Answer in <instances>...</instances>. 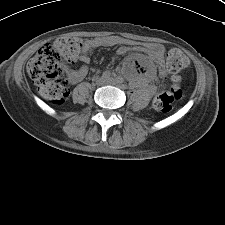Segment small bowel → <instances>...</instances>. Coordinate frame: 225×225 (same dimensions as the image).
<instances>
[{
  "mask_svg": "<svg viewBox=\"0 0 225 225\" xmlns=\"http://www.w3.org/2000/svg\"><path fill=\"white\" fill-rule=\"evenodd\" d=\"M121 44L122 41L114 36L86 39L82 44V51L80 55V61L83 65L77 70L64 69L69 81L71 83H77L87 75V64L90 62V54L93 50L101 47L106 48L120 45L116 50L118 55H125L135 50L147 54L152 63L159 66L163 64L164 48L159 44H147L134 48Z\"/></svg>",
  "mask_w": 225,
  "mask_h": 225,
  "instance_id": "obj_1",
  "label": "small bowel"
}]
</instances>
